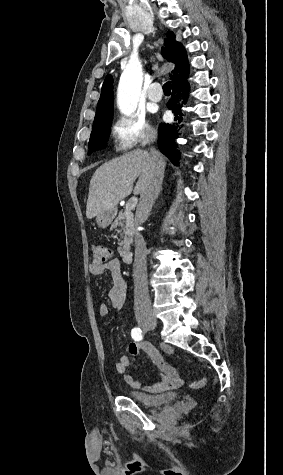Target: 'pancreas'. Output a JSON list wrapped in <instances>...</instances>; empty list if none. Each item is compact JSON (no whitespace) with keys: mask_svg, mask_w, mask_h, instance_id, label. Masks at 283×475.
<instances>
[{"mask_svg":"<svg viewBox=\"0 0 283 475\" xmlns=\"http://www.w3.org/2000/svg\"><path fill=\"white\" fill-rule=\"evenodd\" d=\"M112 228H121L122 230L123 239L119 243L118 251L121 255H125L130 249V243H132L136 232L132 212H129V210L119 212L118 218L112 224Z\"/></svg>","mask_w":283,"mask_h":475,"instance_id":"pancreas-1","label":"pancreas"}]
</instances>
